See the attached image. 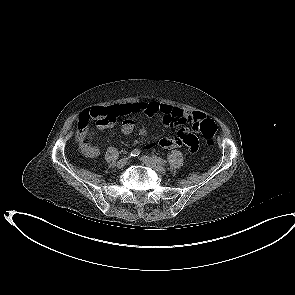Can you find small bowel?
Listing matches in <instances>:
<instances>
[{
  "label": "small bowel",
  "mask_w": 295,
  "mask_h": 295,
  "mask_svg": "<svg viewBox=\"0 0 295 295\" xmlns=\"http://www.w3.org/2000/svg\"><path fill=\"white\" fill-rule=\"evenodd\" d=\"M109 110V118L98 124L100 130L112 128L115 125V118L119 116H129L133 113H142L148 119L160 116L166 126H176L189 122H198L204 119L205 115L199 111H188L175 106L161 103L159 101L133 102L106 107ZM134 121L126 118L122 122L121 131L124 135H129L134 130ZM141 135L147 134V128L143 126L140 129ZM158 145L166 149H175L186 146L191 151L198 147L196 136L189 129H180L173 137H163L159 139ZM82 152L89 158H95L99 155V149L92 145L82 146Z\"/></svg>",
  "instance_id": "obj_1"
}]
</instances>
